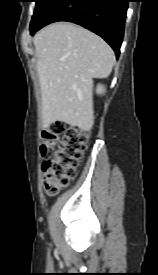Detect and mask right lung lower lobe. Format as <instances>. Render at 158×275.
I'll list each match as a JSON object with an SVG mask.
<instances>
[{"mask_svg": "<svg viewBox=\"0 0 158 275\" xmlns=\"http://www.w3.org/2000/svg\"><path fill=\"white\" fill-rule=\"evenodd\" d=\"M127 7L128 0H56L31 34L52 22H73L101 36L119 57Z\"/></svg>", "mask_w": 158, "mask_h": 275, "instance_id": "obj_1", "label": "right lung lower lobe"}]
</instances>
